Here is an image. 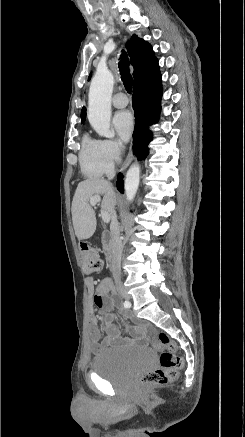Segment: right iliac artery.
<instances>
[{
    "label": "right iliac artery",
    "mask_w": 245,
    "mask_h": 437,
    "mask_svg": "<svg viewBox=\"0 0 245 437\" xmlns=\"http://www.w3.org/2000/svg\"><path fill=\"white\" fill-rule=\"evenodd\" d=\"M123 306H124L125 308H129V307H130V302H128V301H124V302H123Z\"/></svg>",
    "instance_id": "right-iliac-artery-1"
}]
</instances>
